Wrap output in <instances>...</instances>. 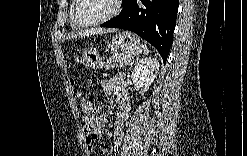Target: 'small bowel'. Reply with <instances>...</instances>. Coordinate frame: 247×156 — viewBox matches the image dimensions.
I'll return each instance as SVG.
<instances>
[{"instance_id": "obj_1", "label": "small bowel", "mask_w": 247, "mask_h": 156, "mask_svg": "<svg viewBox=\"0 0 247 156\" xmlns=\"http://www.w3.org/2000/svg\"><path fill=\"white\" fill-rule=\"evenodd\" d=\"M103 93L107 97H114L117 102L119 103V112L116 115L115 122L112 127V136L116 143V145H119L124 137V122L128 115V109H127V93L125 90V84L123 77L120 75L114 76L111 79L104 81L102 84ZM81 103L82 108L84 111V116L87 113L88 107H94V104L90 102H85L84 99L81 97ZM83 116V121H84ZM101 120L99 121V127H102L106 123V116L100 115ZM83 132H84V141H85V151L87 153H91L93 150V142L95 140L100 139V129L99 134L95 138L89 137L85 132V126H83ZM114 155H118V151L115 150Z\"/></svg>"}]
</instances>
